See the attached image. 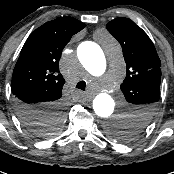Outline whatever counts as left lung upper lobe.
Segmentation results:
<instances>
[{
    "mask_svg": "<svg viewBox=\"0 0 174 174\" xmlns=\"http://www.w3.org/2000/svg\"><path fill=\"white\" fill-rule=\"evenodd\" d=\"M107 30L122 46L126 62V78L121 90L130 104L135 131L145 127L152 119L160 98L161 62L147 34L128 18L110 21ZM121 140L127 134H118Z\"/></svg>",
    "mask_w": 174,
    "mask_h": 174,
    "instance_id": "left-lung-upper-lobe-1",
    "label": "left lung upper lobe"
}]
</instances>
